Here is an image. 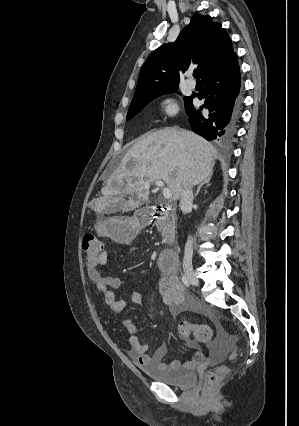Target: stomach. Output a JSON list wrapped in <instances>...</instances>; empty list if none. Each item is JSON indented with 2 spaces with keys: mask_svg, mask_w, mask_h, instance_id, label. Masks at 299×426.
<instances>
[{
  "mask_svg": "<svg viewBox=\"0 0 299 426\" xmlns=\"http://www.w3.org/2000/svg\"><path fill=\"white\" fill-rule=\"evenodd\" d=\"M95 230L98 236L108 237L118 243H126L136 236L137 227L131 218L114 216L99 218Z\"/></svg>",
  "mask_w": 299,
  "mask_h": 426,
  "instance_id": "stomach-1",
  "label": "stomach"
}]
</instances>
